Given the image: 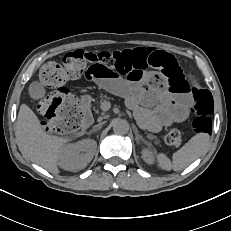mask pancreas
I'll list each match as a JSON object with an SVG mask.
<instances>
[{"mask_svg": "<svg viewBox=\"0 0 231 231\" xmlns=\"http://www.w3.org/2000/svg\"><path fill=\"white\" fill-rule=\"evenodd\" d=\"M103 101H106L105 96H101L100 103H102ZM147 138L157 143L156 137L153 134H147Z\"/></svg>", "mask_w": 231, "mask_h": 231, "instance_id": "pancreas-1", "label": "pancreas"}]
</instances>
